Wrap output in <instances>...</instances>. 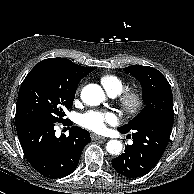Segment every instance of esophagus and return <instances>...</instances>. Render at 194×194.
<instances>
[{
  "mask_svg": "<svg viewBox=\"0 0 194 194\" xmlns=\"http://www.w3.org/2000/svg\"><path fill=\"white\" fill-rule=\"evenodd\" d=\"M91 139H92V140H104L105 137L100 136V135H97V134H95V133H92V134H91Z\"/></svg>",
  "mask_w": 194,
  "mask_h": 194,
  "instance_id": "34e87169",
  "label": "esophagus"
}]
</instances>
